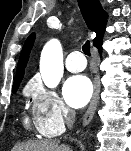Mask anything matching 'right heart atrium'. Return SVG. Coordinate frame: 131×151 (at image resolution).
<instances>
[{
  "label": "right heart atrium",
  "instance_id": "d8ad5b80",
  "mask_svg": "<svg viewBox=\"0 0 131 151\" xmlns=\"http://www.w3.org/2000/svg\"><path fill=\"white\" fill-rule=\"evenodd\" d=\"M33 99V112L38 131L46 137L59 135L71 120L72 112L56 91L34 82L29 87Z\"/></svg>",
  "mask_w": 131,
  "mask_h": 151
}]
</instances>
